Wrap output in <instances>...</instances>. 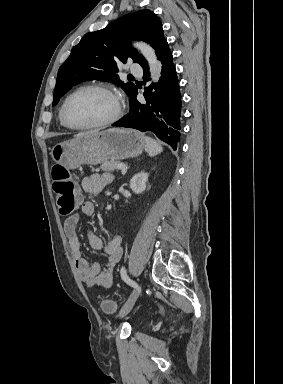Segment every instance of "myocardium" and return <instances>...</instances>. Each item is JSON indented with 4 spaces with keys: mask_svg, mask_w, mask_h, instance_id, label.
I'll use <instances>...</instances> for the list:
<instances>
[{
    "mask_svg": "<svg viewBox=\"0 0 283 384\" xmlns=\"http://www.w3.org/2000/svg\"><path fill=\"white\" fill-rule=\"evenodd\" d=\"M88 90L100 91L105 93L107 96H109V98L113 103L112 114L108 118L90 125L81 126V127L72 126L71 124L68 123L66 118L67 105L73 96H75L80 92L88 91ZM120 115H121V103H120L119 97L110 86L105 84H87L75 89L65 98L61 107V122L64 127L73 131H85V130L99 129V128L109 126L115 123L119 119Z\"/></svg>",
    "mask_w": 283,
    "mask_h": 384,
    "instance_id": "myocardium-1",
    "label": "myocardium"
}]
</instances>
